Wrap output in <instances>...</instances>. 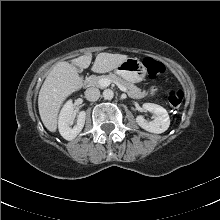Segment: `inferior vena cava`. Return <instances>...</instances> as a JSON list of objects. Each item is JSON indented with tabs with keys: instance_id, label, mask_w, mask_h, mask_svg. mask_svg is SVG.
I'll return each instance as SVG.
<instances>
[{
	"instance_id": "602c4592",
	"label": "inferior vena cava",
	"mask_w": 220,
	"mask_h": 220,
	"mask_svg": "<svg viewBox=\"0 0 220 220\" xmlns=\"http://www.w3.org/2000/svg\"><path fill=\"white\" fill-rule=\"evenodd\" d=\"M100 97V91L98 88L90 87L85 91V98L89 101H97Z\"/></svg>"
}]
</instances>
